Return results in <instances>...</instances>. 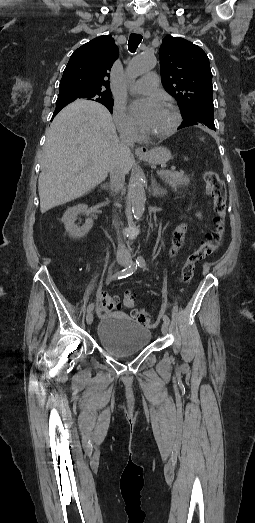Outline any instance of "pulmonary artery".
I'll use <instances>...</instances> for the list:
<instances>
[{"label":"pulmonary artery","instance_id":"obj_1","mask_svg":"<svg viewBox=\"0 0 255 523\" xmlns=\"http://www.w3.org/2000/svg\"><path fill=\"white\" fill-rule=\"evenodd\" d=\"M133 89L138 92H143L144 96L147 98H150L153 95L158 96L162 92L157 75L153 71L148 72L147 75L141 76L139 81L133 86Z\"/></svg>","mask_w":255,"mask_h":523}]
</instances>
